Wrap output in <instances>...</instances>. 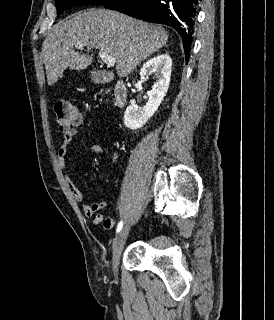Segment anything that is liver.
Segmentation results:
<instances>
[{
    "label": "liver",
    "mask_w": 274,
    "mask_h": 320,
    "mask_svg": "<svg viewBox=\"0 0 274 320\" xmlns=\"http://www.w3.org/2000/svg\"><path fill=\"white\" fill-rule=\"evenodd\" d=\"M168 40V32L162 26L135 20L120 12L91 8L68 16L45 38L42 58L45 64L48 86H53L64 70H86L92 64V56L75 52L99 50L116 58L119 78H127L138 64L159 52Z\"/></svg>",
    "instance_id": "liver-1"
}]
</instances>
